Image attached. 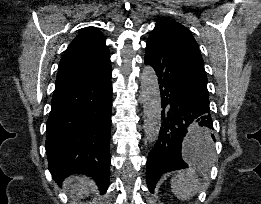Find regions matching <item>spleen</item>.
<instances>
[{"mask_svg":"<svg viewBox=\"0 0 261 204\" xmlns=\"http://www.w3.org/2000/svg\"><path fill=\"white\" fill-rule=\"evenodd\" d=\"M197 147L203 148L206 153L213 149L212 141L208 138L197 142ZM199 178L193 169L179 171L171 180V189L173 194L181 201L189 200L193 197L199 188Z\"/></svg>","mask_w":261,"mask_h":204,"instance_id":"3e777b00","label":"spleen"}]
</instances>
